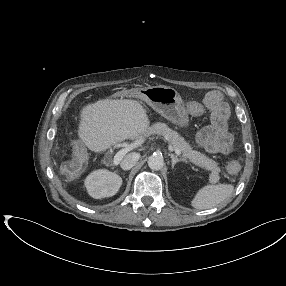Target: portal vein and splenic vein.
I'll list each match as a JSON object with an SVG mask.
<instances>
[{"label": "portal vein and splenic vein", "instance_id": "1", "mask_svg": "<svg viewBox=\"0 0 286 286\" xmlns=\"http://www.w3.org/2000/svg\"><path fill=\"white\" fill-rule=\"evenodd\" d=\"M144 140H145L144 138H140L139 140L135 141L134 143L128 144L124 148L119 150L116 153V155L114 156L113 163L115 165H117L122 160V158L124 157V155L127 152L139 147L144 142ZM169 149L174 150L177 155L181 154V151L179 149H174L172 146H170Z\"/></svg>", "mask_w": 286, "mask_h": 286}]
</instances>
